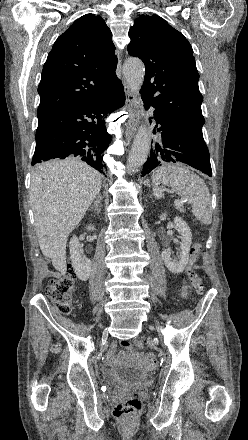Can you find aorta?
<instances>
[{"instance_id": "obj_1", "label": "aorta", "mask_w": 248, "mask_h": 440, "mask_svg": "<svg viewBox=\"0 0 248 440\" xmlns=\"http://www.w3.org/2000/svg\"><path fill=\"white\" fill-rule=\"evenodd\" d=\"M124 78L130 88L134 93H139L144 76H145V66L140 59L130 58L123 66ZM151 139L148 130L145 125H141L134 138L131 151L129 153L127 168L128 171H134L141 167L150 152Z\"/></svg>"}]
</instances>
